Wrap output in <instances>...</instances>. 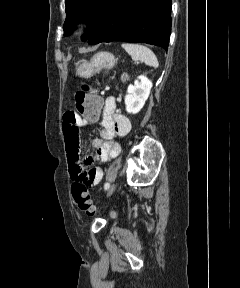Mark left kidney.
<instances>
[{
	"label": "left kidney",
	"instance_id": "1",
	"mask_svg": "<svg viewBox=\"0 0 240 288\" xmlns=\"http://www.w3.org/2000/svg\"><path fill=\"white\" fill-rule=\"evenodd\" d=\"M151 88L152 82L144 75H140L134 85H129L125 96L126 111L130 114L138 113L148 99Z\"/></svg>",
	"mask_w": 240,
	"mask_h": 288
}]
</instances>
